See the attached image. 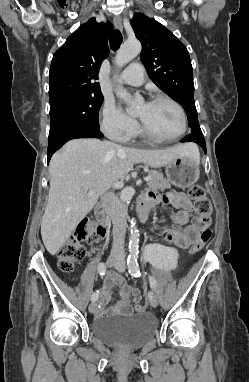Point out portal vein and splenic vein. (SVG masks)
Masks as SVG:
<instances>
[{
  "mask_svg": "<svg viewBox=\"0 0 249 382\" xmlns=\"http://www.w3.org/2000/svg\"><path fill=\"white\" fill-rule=\"evenodd\" d=\"M152 178L150 177V176H146V177H144V181H146V182H148V181H150ZM123 182L122 181H117V182H115V183H113V187L114 188H121V187H123ZM92 195H94V191H90V192H88V194H87V196H92Z\"/></svg>",
  "mask_w": 249,
  "mask_h": 382,
  "instance_id": "obj_1",
  "label": "portal vein and splenic vein"
}]
</instances>
